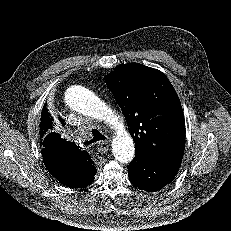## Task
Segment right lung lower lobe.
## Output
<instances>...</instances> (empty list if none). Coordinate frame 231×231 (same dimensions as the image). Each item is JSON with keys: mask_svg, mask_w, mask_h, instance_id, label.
I'll return each instance as SVG.
<instances>
[{"mask_svg": "<svg viewBox=\"0 0 231 231\" xmlns=\"http://www.w3.org/2000/svg\"><path fill=\"white\" fill-rule=\"evenodd\" d=\"M88 163H91L92 165V168H91V178L88 179V185H90L94 179V175L96 174V168L95 166L93 165V161L91 160V158L89 157V160H87Z\"/></svg>", "mask_w": 231, "mask_h": 231, "instance_id": "98d812e1", "label": "right lung lower lobe"}]
</instances>
